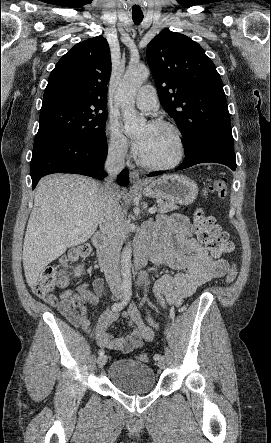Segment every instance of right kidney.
I'll list each match as a JSON object with an SVG mask.
<instances>
[{"instance_id":"obj_1","label":"right kidney","mask_w":271,"mask_h":443,"mask_svg":"<svg viewBox=\"0 0 271 443\" xmlns=\"http://www.w3.org/2000/svg\"><path fill=\"white\" fill-rule=\"evenodd\" d=\"M83 265H78V267H76V269H74L75 273L74 275H81L83 269H82Z\"/></svg>"}]
</instances>
